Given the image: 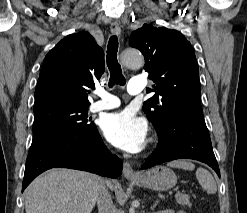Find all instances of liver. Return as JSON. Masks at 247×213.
<instances>
[{
	"label": "liver",
	"instance_id": "liver-1",
	"mask_svg": "<svg viewBox=\"0 0 247 213\" xmlns=\"http://www.w3.org/2000/svg\"><path fill=\"white\" fill-rule=\"evenodd\" d=\"M102 179L89 172L55 168L25 190L26 213H91ZM112 188V184L110 183Z\"/></svg>",
	"mask_w": 247,
	"mask_h": 213
}]
</instances>
